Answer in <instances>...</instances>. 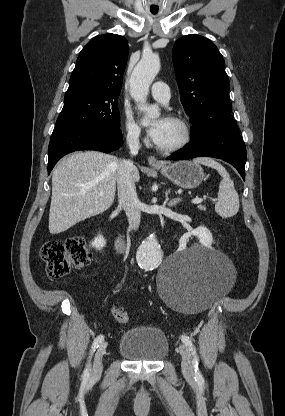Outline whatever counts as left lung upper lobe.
Here are the masks:
<instances>
[{
  "mask_svg": "<svg viewBox=\"0 0 285 416\" xmlns=\"http://www.w3.org/2000/svg\"><path fill=\"white\" fill-rule=\"evenodd\" d=\"M173 64L181 102L193 124L191 138L236 125L225 62L214 43L196 34L181 37L173 46Z\"/></svg>",
  "mask_w": 285,
  "mask_h": 416,
  "instance_id": "1",
  "label": "left lung upper lobe"
}]
</instances>
